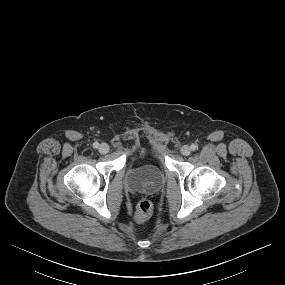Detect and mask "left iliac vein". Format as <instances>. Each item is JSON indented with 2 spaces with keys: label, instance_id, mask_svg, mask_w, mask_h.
Returning a JSON list of instances; mask_svg holds the SVG:
<instances>
[{
  "label": "left iliac vein",
  "instance_id": "obj_1",
  "mask_svg": "<svg viewBox=\"0 0 285 285\" xmlns=\"http://www.w3.org/2000/svg\"><path fill=\"white\" fill-rule=\"evenodd\" d=\"M180 152H181L182 155L188 156V155H190V153H191V149H190L189 146L184 145V146L181 147Z\"/></svg>",
  "mask_w": 285,
  "mask_h": 285
}]
</instances>
